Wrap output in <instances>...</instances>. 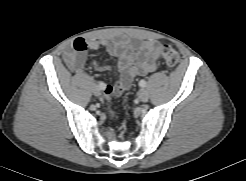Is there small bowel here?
Returning a JSON list of instances; mask_svg holds the SVG:
<instances>
[{
	"label": "small bowel",
	"instance_id": "c3829d8e",
	"mask_svg": "<svg viewBox=\"0 0 246 181\" xmlns=\"http://www.w3.org/2000/svg\"><path fill=\"white\" fill-rule=\"evenodd\" d=\"M104 48L109 55L117 59L119 78L115 86L104 84V93L121 95L126 91L137 76L146 75L157 69L162 45L155 40L138 41L126 36H119L113 41L100 39L86 40L77 38L64 53L67 66L77 74L83 72L87 58V50ZM100 71L110 70V66L94 63Z\"/></svg>",
	"mask_w": 246,
	"mask_h": 181
}]
</instances>
